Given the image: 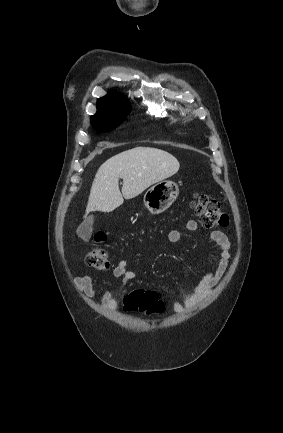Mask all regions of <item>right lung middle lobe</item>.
Listing matches in <instances>:
<instances>
[{"label":"right lung middle lobe","mask_w":283,"mask_h":433,"mask_svg":"<svg viewBox=\"0 0 283 433\" xmlns=\"http://www.w3.org/2000/svg\"><path fill=\"white\" fill-rule=\"evenodd\" d=\"M130 111H119L93 115L90 119L92 126L100 132H109L125 121Z\"/></svg>","instance_id":"1"}]
</instances>
